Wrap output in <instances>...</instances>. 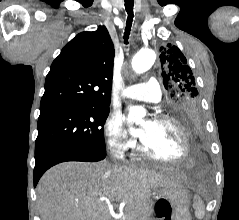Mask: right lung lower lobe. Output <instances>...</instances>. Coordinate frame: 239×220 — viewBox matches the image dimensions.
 Wrapping results in <instances>:
<instances>
[{"label": "right lung lower lobe", "instance_id": "1", "mask_svg": "<svg viewBox=\"0 0 239 220\" xmlns=\"http://www.w3.org/2000/svg\"><path fill=\"white\" fill-rule=\"evenodd\" d=\"M106 157V151L96 152L76 148H54L35 154L34 186L43 173L55 164L65 161L96 162Z\"/></svg>", "mask_w": 239, "mask_h": 220}]
</instances>
